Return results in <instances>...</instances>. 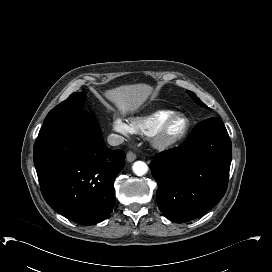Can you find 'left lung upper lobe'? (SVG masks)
I'll return each instance as SVG.
<instances>
[{
    "instance_id": "1",
    "label": "left lung upper lobe",
    "mask_w": 272,
    "mask_h": 272,
    "mask_svg": "<svg viewBox=\"0 0 272 272\" xmlns=\"http://www.w3.org/2000/svg\"><path fill=\"white\" fill-rule=\"evenodd\" d=\"M191 98L200 106L208 108L193 92L187 91Z\"/></svg>"
}]
</instances>
